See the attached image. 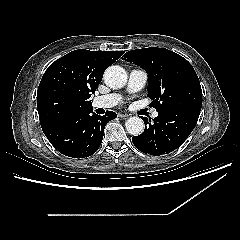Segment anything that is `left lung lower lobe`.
Returning a JSON list of instances; mask_svg holds the SVG:
<instances>
[{
	"instance_id": "left-lung-lower-lobe-1",
	"label": "left lung lower lobe",
	"mask_w": 240,
	"mask_h": 240,
	"mask_svg": "<svg viewBox=\"0 0 240 240\" xmlns=\"http://www.w3.org/2000/svg\"><path fill=\"white\" fill-rule=\"evenodd\" d=\"M201 106H186L158 112L153 122L142 118L145 130L132 137L135 147L143 153L159 156L179 147L195 128Z\"/></svg>"
}]
</instances>
